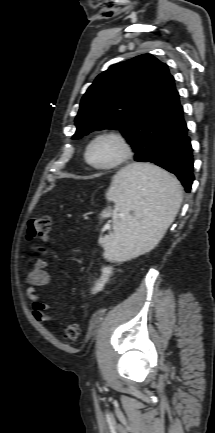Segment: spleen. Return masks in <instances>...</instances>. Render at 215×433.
Masks as SVG:
<instances>
[{"label": "spleen", "mask_w": 215, "mask_h": 433, "mask_svg": "<svg viewBox=\"0 0 215 433\" xmlns=\"http://www.w3.org/2000/svg\"><path fill=\"white\" fill-rule=\"evenodd\" d=\"M115 203L113 233L99 239L109 260H128L151 251L163 238L182 202L179 182L152 164L133 163L113 176L106 193Z\"/></svg>", "instance_id": "1"}]
</instances>
